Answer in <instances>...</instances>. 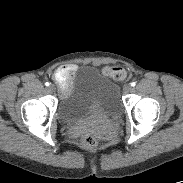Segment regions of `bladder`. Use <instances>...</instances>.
<instances>
[{
	"label": "bladder",
	"instance_id": "bladder-1",
	"mask_svg": "<svg viewBox=\"0 0 183 183\" xmlns=\"http://www.w3.org/2000/svg\"><path fill=\"white\" fill-rule=\"evenodd\" d=\"M121 111L117 85L108 77L96 74L83 86L64 94L60 104L61 114L69 121L91 117L116 119Z\"/></svg>",
	"mask_w": 183,
	"mask_h": 183
}]
</instances>
